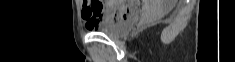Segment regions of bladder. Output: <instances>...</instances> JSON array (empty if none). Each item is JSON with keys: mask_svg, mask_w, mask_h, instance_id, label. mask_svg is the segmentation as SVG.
Segmentation results:
<instances>
[{"mask_svg": "<svg viewBox=\"0 0 235 62\" xmlns=\"http://www.w3.org/2000/svg\"><path fill=\"white\" fill-rule=\"evenodd\" d=\"M136 21L137 16L133 14L125 18L124 20H120L116 23L103 24L97 29V31L112 38L120 37L127 34L134 26Z\"/></svg>", "mask_w": 235, "mask_h": 62, "instance_id": "1", "label": "bladder"}]
</instances>
